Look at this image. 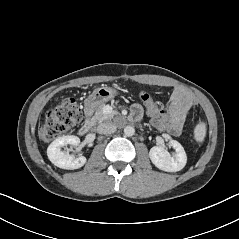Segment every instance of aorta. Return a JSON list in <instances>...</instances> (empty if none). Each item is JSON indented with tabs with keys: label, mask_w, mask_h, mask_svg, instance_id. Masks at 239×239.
I'll return each instance as SVG.
<instances>
[{
	"label": "aorta",
	"mask_w": 239,
	"mask_h": 239,
	"mask_svg": "<svg viewBox=\"0 0 239 239\" xmlns=\"http://www.w3.org/2000/svg\"><path fill=\"white\" fill-rule=\"evenodd\" d=\"M135 133V129L132 126H126L124 128V134L128 137L133 136Z\"/></svg>",
	"instance_id": "obj_1"
}]
</instances>
